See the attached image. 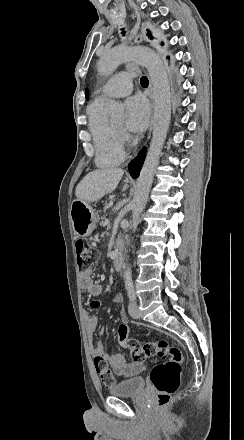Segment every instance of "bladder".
Wrapping results in <instances>:
<instances>
[{
  "mask_svg": "<svg viewBox=\"0 0 244 440\" xmlns=\"http://www.w3.org/2000/svg\"><path fill=\"white\" fill-rule=\"evenodd\" d=\"M145 389V381L143 377L127 378L117 382L110 388V394L113 395H139Z\"/></svg>",
  "mask_w": 244,
  "mask_h": 440,
  "instance_id": "1",
  "label": "bladder"
}]
</instances>
